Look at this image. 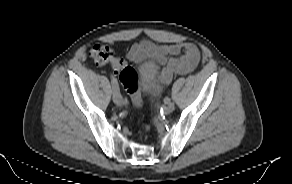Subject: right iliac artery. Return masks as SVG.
I'll list each match as a JSON object with an SVG mask.
<instances>
[{
	"mask_svg": "<svg viewBox=\"0 0 292 184\" xmlns=\"http://www.w3.org/2000/svg\"><path fill=\"white\" fill-rule=\"evenodd\" d=\"M111 83H112L114 92H117V95L120 97L122 94H121V91H119L117 80L113 76L111 77Z\"/></svg>",
	"mask_w": 292,
	"mask_h": 184,
	"instance_id": "82829eb1",
	"label": "right iliac artery"
}]
</instances>
